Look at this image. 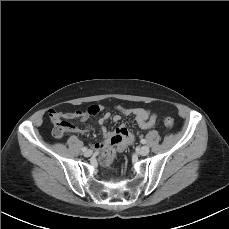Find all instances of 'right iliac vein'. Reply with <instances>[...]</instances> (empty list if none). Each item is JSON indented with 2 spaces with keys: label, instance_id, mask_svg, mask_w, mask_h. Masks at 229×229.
I'll return each instance as SVG.
<instances>
[{
  "label": "right iliac vein",
  "instance_id": "right-iliac-vein-1",
  "mask_svg": "<svg viewBox=\"0 0 229 229\" xmlns=\"http://www.w3.org/2000/svg\"><path fill=\"white\" fill-rule=\"evenodd\" d=\"M92 153H93L92 150H87V151L84 152V156L85 157H90L92 155Z\"/></svg>",
  "mask_w": 229,
  "mask_h": 229
}]
</instances>
